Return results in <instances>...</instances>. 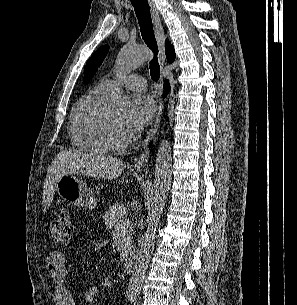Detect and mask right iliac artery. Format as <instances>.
Masks as SVG:
<instances>
[{
    "instance_id": "right-iliac-artery-1",
    "label": "right iliac artery",
    "mask_w": 297,
    "mask_h": 305,
    "mask_svg": "<svg viewBox=\"0 0 297 305\" xmlns=\"http://www.w3.org/2000/svg\"><path fill=\"white\" fill-rule=\"evenodd\" d=\"M129 300H130V301H132V300H133V298H129Z\"/></svg>"
}]
</instances>
